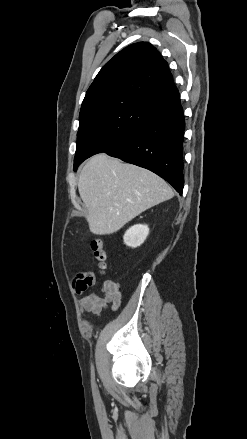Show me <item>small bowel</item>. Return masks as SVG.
<instances>
[{
    "instance_id": "obj_1",
    "label": "small bowel",
    "mask_w": 247,
    "mask_h": 439,
    "mask_svg": "<svg viewBox=\"0 0 247 439\" xmlns=\"http://www.w3.org/2000/svg\"><path fill=\"white\" fill-rule=\"evenodd\" d=\"M95 284V277L92 273L78 274L73 282L72 287L77 295H82ZM102 296L96 293H90L78 298V306L81 313H92L100 317L102 312L109 307L116 310L122 298V286L119 282L104 280L101 283Z\"/></svg>"
}]
</instances>
